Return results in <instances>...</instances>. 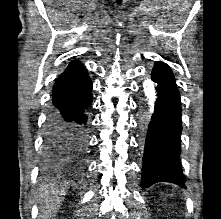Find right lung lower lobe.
Instances as JSON below:
<instances>
[{
	"instance_id": "right-lung-lower-lobe-1",
	"label": "right lung lower lobe",
	"mask_w": 221,
	"mask_h": 219,
	"mask_svg": "<svg viewBox=\"0 0 221 219\" xmlns=\"http://www.w3.org/2000/svg\"><path fill=\"white\" fill-rule=\"evenodd\" d=\"M43 150V168L59 170L80 160L86 151L87 111L92 103V82L86 68L72 61L56 80Z\"/></svg>"
}]
</instances>
